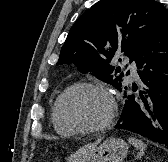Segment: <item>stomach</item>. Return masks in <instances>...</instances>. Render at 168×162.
Masks as SVG:
<instances>
[{"mask_svg": "<svg viewBox=\"0 0 168 162\" xmlns=\"http://www.w3.org/2000/svg\"><path fill=\"white\" fill-rule=\"evenodd\" d=\"M128 152V144L120 138L111 137L72 158L69 162H122Z\"/></svg>", "mask_w": 168, "mask_h": 162, "instance_id": "0dacf381", "label": "stomach"}]
</instances>
